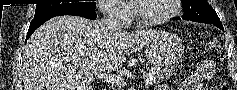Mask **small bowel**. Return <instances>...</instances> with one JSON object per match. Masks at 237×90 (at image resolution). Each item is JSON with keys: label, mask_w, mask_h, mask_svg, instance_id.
<instances>
[{"label": "small bowel", "mask_w": 237, "mask_h": 90, "mask_svg": "<svg viewBox=\"0 0 237 90\" xmlns=\"http://www.w3.org/2000/svg\"><path fill=\"white\" fill-rule=\"evenodd\" d=\"M214 74V66L205 62L202 63L196 72L189 76L178 88V90H201L204 81L212 78ZM170 88L166 85L160 86L157 90H169Z\"/></svg>", "instance_id": "obj_1"}]
</instances>
